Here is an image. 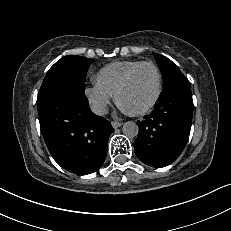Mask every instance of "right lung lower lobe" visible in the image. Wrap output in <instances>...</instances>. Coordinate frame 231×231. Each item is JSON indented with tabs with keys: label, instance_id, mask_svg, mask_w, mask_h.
<instances>
[{
	"label": "right lung lower lobe",
	"instance_id": "obj_1",
	"mask_svg": "<svg viewBox=\"0 0 231 231\" xmlns=\"http://www.w3.org/2000/svg\"><path fill=\"white\" fill-rule=\"evenodd\" d=\"M88 104L84 90L72 85L57 87L37 99L40 128L51 155L61 167L79 175L102 166L114 131Z\"/></svg>",
	"mask_w": 231,
	"mask_h": 231
}]
</instances>
